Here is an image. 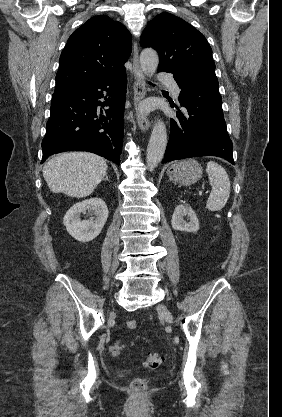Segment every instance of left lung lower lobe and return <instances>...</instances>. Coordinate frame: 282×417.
<instances>
[{
  "label": "left lung lower lobe",
  "mask_w": 282,
  "mask_h": 417,
  "mask_svg": "<svg viewBox=\"0 0 282 417\" xmlns=\"http://www.w3.org/2000/svg\"><path fill=\"white\" fill-rule=\"evenodd\" d=\"M181 88L176 120L162 163L197 156H218L234 164L232 141L226 129L218 80L209 76H186L176 80Z\"/></svg>",
  "instance_id": "1"
}]
</instances>
